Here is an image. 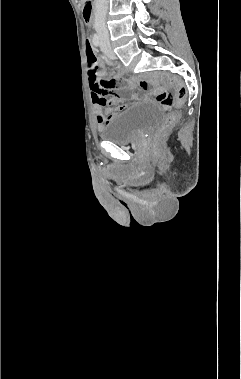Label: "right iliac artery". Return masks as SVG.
<instances>
[{
    "mask_svg": "<svg viewBox=\"0 0 241 379\" xmlns=\"http://www.w3.org/2000/svg\"><path fill=\"white\" fill-rule=\"evenodd\" d=\"M93 43L95 46H99L100 45V38L97 34H94L93 36Z\"/></svg>",
    "mask_w": 241,
    "mask_h": 379,
    "instance_id": "1",
    "label": "right iliac artery"
}]
</instances>
